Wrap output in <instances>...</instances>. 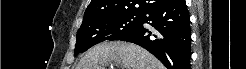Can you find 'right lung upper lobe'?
I'll use <instances>...</instances> for the list:
<instances>
[{
    "mask_svg": "<svg viewBox=\"0 0 246 69\" xmlns=\"http://www.w3.org/2000/svg\"><path fill=\"white\" fill-rule=\"evenodd\" d=\"M165 0H91L83 22L121 14H143Z\"/></svg>",
    "mask_w": 246,
    "mask_h": 69,
    "instance_id": "obj_1",
    "label": "right lung upper lobe"
}]
</instances>
